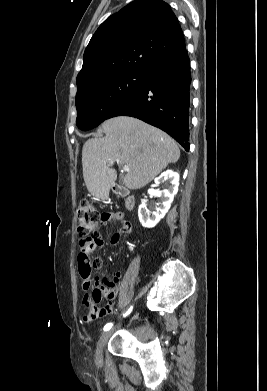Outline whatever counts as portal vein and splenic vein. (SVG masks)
Returning a JSON list of instances; mask_svg holds the SVG:
<instances>
[{"label": "portal vein and splenic vein", "mask_w": 267, "mask_h": 391, "mask_svg": "<svg viewBox=\"0 0 267 391\" xmlns=\"http://www.w3.org/2000/svg\"><path fill=\"white\" fill-rule=\"evenodd\" d=\"M117 162H118V161H117ZM113 163H114L113 160H109V161H108V164H109V165H112ZM118 163H119V162H118ZM122 168H123L124 171H129V167H128L127 165H124Z\"/></svg>", "instance_id": "portal-vein-and-splenic-vein-1"}]
</instances>
